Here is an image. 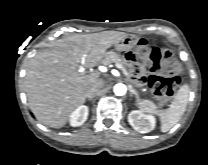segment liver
Returning a JSON list of instances; mask_svg holds the SVG:
<instances>
[{"label":"liver","mask_w":208,"mask_h":165,"mask_svg":"<svg viewBox=\"0 0 208 165\" xmlns=\"http://www.w3.org/2000/svg\"><path fill=\"white\" fill-rule=\"evenodd\" d=\"M127 37L124 32L77 34L50 43L30 61L26 73L29 107L49 127L61 128L71 113L84 103L88 87L100 80V72L86 74L81 66H98L106 50Z\"/></svg>","instance_id":"obj_1"}]
</instances>
